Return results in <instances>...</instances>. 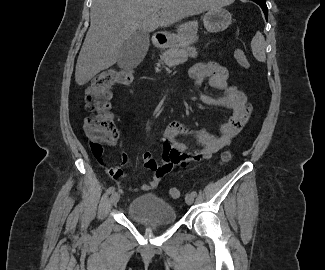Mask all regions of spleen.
<instances>
[{
	"label": "spleen",
	"mask_w": 325,
	"mask_h": 270,
	"mask_svg": "<svg viewBox=\"0 0 325 270\" xmlns=\"http://www.w3.org/2000/svg\"><path fill=\"white\" fill-rule=\"evenodd\" d=\"M265 48L266 42L264 36L260 31H257L251 41V49L254 57L260 62L266 61Z\"/></svg>",
	"instance_id": "3e777b00"
}]
</instances>
